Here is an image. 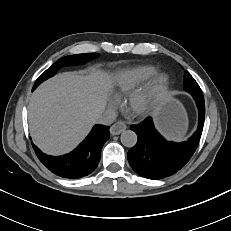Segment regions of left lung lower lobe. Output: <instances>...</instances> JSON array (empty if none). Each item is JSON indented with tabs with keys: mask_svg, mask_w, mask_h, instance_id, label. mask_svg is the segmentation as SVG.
<instances>
[{
	"mask_svg": "<svg viewBox=\"0 0 231 231\" xmlns=\"http://www.w3.org/2000/svg\"><path fill=\"white\" fill-rule=\"evenodd\" d=\"M198 111V128L188 141L176 143L166 141L154 128L152 118L132 125L138 141L127 154L132 169L140 176L148 179H162L179 171L194 154L204 125V100H195Z\"/></svg>",
	"mask_w": 231,
	"mask_h": 231,
	"instance_id": "0a47b994",
	"label": "left lung lower lobe"
}]
</instances>
